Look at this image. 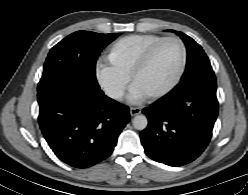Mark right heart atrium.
<instances>
[{"mask_svg":"<svg viewBox=\"0 0 248 195\" xmlns=\"http://www.w3.org/2000/svg\"><path fill=\"white\" fill-rule=\"evenodd\" d=\"M98 76L104 88L110 91H121L125 89L127 81L119 74L112 65H104L98 71Z\"/></svg>","mask_w":248,"mask_h":195,"instance_id":"d8ad5b80","label":"right heart atrium"}]
</instances>
